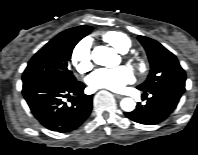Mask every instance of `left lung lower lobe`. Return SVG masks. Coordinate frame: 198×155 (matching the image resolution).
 Here are the masks:
<instances>
[{"label": "left lung lower lobe", "mask_w": 198, "mask_h": 155, "mask_svg": "<svg viewBox=\"0 0 198 155\" xmlns=\"http://www.w3.org/2000/svg\"><path fill=\"white\" fill-rule=\"evenodd\" d=\"M184 92V87L173 85L161 86L148 92L144 91V96H147V93L151 94L146 105L138 104L134 111L125 113V115L140 124H158L173 112Z\"/></svg>", "instance_id": "left-lung-lower-lobe-1"}]
</instances>
